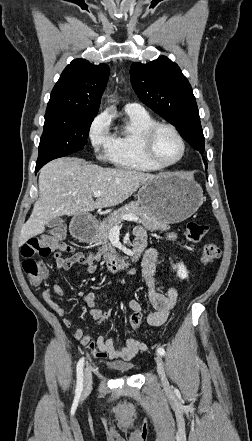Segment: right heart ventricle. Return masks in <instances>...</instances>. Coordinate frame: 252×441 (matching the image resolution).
<instances>
[{
    "instance_id": "right-heart-ventricle-1",
    "label": "right heart ventricle",
    "mask_w": 252,
    "mask_h": 441,
    "mask_svg": "<svg viewBox=\"0 0 252 441\" xmlns=\"http://www.w3.org/2000/svg\"><path fill=\"white\" fill-rule=\"evenodd\" d=\"M127 114V123L114 136V152L112 161L120 168L138 171L154 172L159 170L144 155L142 135L156 121L146 111L143 113Z\"/></svg>"
}]
</instances>
